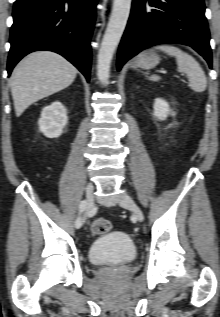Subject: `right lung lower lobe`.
Here are the masks:
<instances>
[{
	"instance_id": "right-lung-lower-lobe-1",
	"label": "right lung lower lobe",
	"mask_w": 220,
	"mask_h": 317,
	"mask_svg": "<svg viewBox=\"0 0 220 317\" xmlns=\"http://www.w3.org/2000/svg\"><path fill=\"white\" fill-rule=\"evenodd\" d=\"M98 0H16L7 71L30 52L64 56L90 79L91 47Z\"/></svg>"
}]
</instances>
